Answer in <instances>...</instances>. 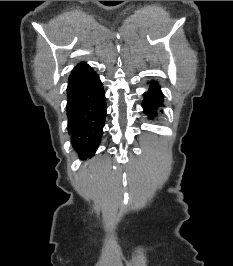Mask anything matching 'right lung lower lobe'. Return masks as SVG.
Returning <instances> with one entry per match:
<instances>
[{"mask_svg": "<svg viewBox=\"0 0 233 266\" xmlns=\"http://www.w3.org/2000/svg\"><path fill=\"white\" fill-rule=\"evenodd\" d=\"M67 111L72 144L82 159L91 158L100 143L106 117V99L97 73L85 63L71 72Z\"/></svg>", "mask_w": 233, "mask_h": 266, "instance_id": "98d812e1", "label": "right lung lower lobe"}]
</instances>
